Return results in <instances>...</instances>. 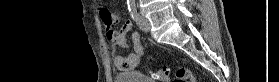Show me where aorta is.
<instances>
[{
    "label": "aorta",
    "mask_w": 279,
    "mask_h": 82,
    "mask_svg": "<svg viewBox=\"0 0 279 82\" xmlns=\"http://www.w3.org/2000/svg\"><path fill=\"white\" fill-rule=\"evenodd\" d=\"M128 4H129L131 7H134V6H135V0H128Z\"/></svg>",
    "instance_id": "aorta-1"
}]
</instances>
